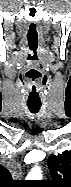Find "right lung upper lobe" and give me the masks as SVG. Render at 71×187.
<instances>
[{
  "label": "right lung upper lobe",
  "mask_w": 71,
  "mask_h": 187,
  "mask_svg": "<svg viewBox=\"0 0 71 187\" xmlns=\"http://www.w3.org/2000/svg\"><path fill=\"white\" fill-rule=\"evenodd\" d=\"M0 172H1V175L4 179L9 180L11 178V174L9 173V171L6 168L2 167L0 169Z\"/></svg>",
  "instance_id": "cb5924a9"
}]
</instances>
